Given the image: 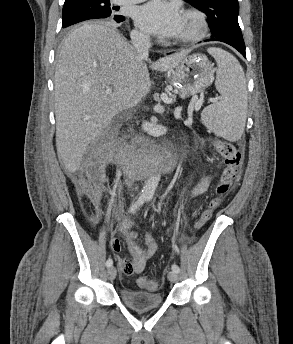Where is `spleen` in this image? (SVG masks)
<instances>
[{
	"instance_id": "1",
	"label": "spleen",
	"mask_w": 293,
	"mask_h": 344,
	"mask_svg": "<svg viewBox=\"0 0 293 344\" xmlns=\"http://www.w3.org/2000/svg\"><path fill=\"white\" fill-rule=\"evenodd\" d=\"M216 60V89L220 100L201 114L203 124L216 135L228 140L241 138L247 115V89L244 71L238 60L220 48L207 50Z\"/></svg>"
}]
</instances>
